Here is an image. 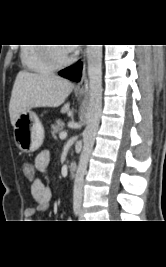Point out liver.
<instances>
[{
	"label": "liver",
	"instance_id": "1",
	"mask_svg": "<svg viewBox=\"0 0 166 267\" xmlns=\"http://www.w3.org/2000/svg\"><path fill=\"white\" fill-rule=\"evenodd\" d=\"M73 84L55 74H36L20 71L15 79L9 114L11 124L14 126L17 118L24 112L35 107H59L72 92ZM66 103L61 113L69 110Z\"/></svg>",
	"mask_w": 166,
	"mask_h": 267
}]
</instances>
